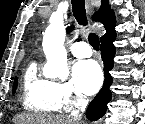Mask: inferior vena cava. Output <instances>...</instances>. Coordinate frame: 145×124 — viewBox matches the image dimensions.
Instances as JSON below:
<instances>
[{
	"instance_id": "obj_1",
	"label": "inferior vena cava",
	"mask_w": 145,
	"mask_h": 124,
	"mask_svg": "<svg viewBox=\"0 0 145 124\" xmlns=\"http://www.w3.org/2000/svg\"><path fill=\"white\" fill-rule=\"evenodd\" d=\"M88 101L87 100H81L80 101V106H78V111H76L75 113L71 114V118L75 121H80L82 118V112L85 109V107L87 106Z\"/></svg>"
}]
</instances>
